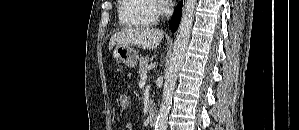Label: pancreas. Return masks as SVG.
<instances>
[{
    "instance_id": "cf45deb5",
    "label": "pancreas",
    "mask_w": 299,
    "mask_h": 130,
    "mask_svg": "<svg viewBox=\"0 0 299 130\" xmlns=\"http://www.w3.org/2000/svg\"><path fill=\"white\" fill-rule=\"evenodd\" d=\"M149 65H150V61H149V58L147 56L140 58V62H139V74H140V76L147 73Z\"/></svg>"
}]
</instances>
